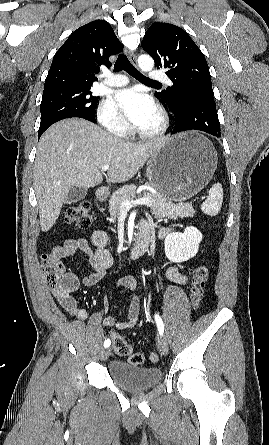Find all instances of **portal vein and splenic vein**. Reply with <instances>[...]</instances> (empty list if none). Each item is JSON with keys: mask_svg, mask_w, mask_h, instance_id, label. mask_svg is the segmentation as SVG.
Here are the masks:
<instances>
[{"mask_svg": "<svg viewBox=\"0 0 269 445\" xmlns=\"http://www.w3.org/2000/svg\"><path fill=\"white\" fill-rule=\"evenodd\" d=\"M101 170L104 172L109 170V165L102 166ZM150 202H151V199L147 198V197L139 198L135 201L124 200L122 202V208L129 210L136 205H148Z\"/></svg>", "mask_w": 269, "mask_h": 445, "instance_id": "portal-vein-and-splenic-vein-1", "label": "portal vein and splenic vein"}]
</instances>
